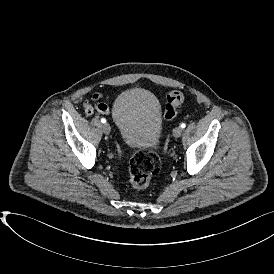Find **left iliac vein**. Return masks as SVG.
I'll return each mask as SVG.
<instances>
[{
  "mask_svg": "<svg viewBox=\"0 0 274 274\" xmlns=\"http://www.w3.org/2000/svg\"><path fill=\"white\" fill-rule=\"evenodd\" d=\"M181 134H182V128L181 127H175L173 129V136L174 137L178 138V137L181 136Z\"/></svg>",
  "mask_w": 274,
  "mask_h": 274,
  "instance_id": "left-iliac-vein-1",
  "label": "left iliac vein"
}]
</instances>
